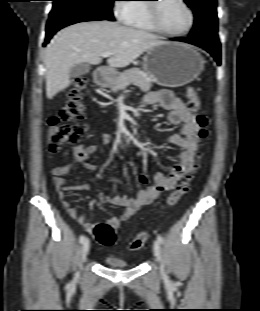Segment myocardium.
<instances>
[{
	"mask_svg": "<svg viewBox=\"0 0 260 311\" xmlns=\"http://www.w3.org/2000/svg\"><path fill=\"white\" fill-rule=\"evenodd\" d=\"M160 2H162V0H155V2H151L149 4L146 5L147 7V13H148V19L151 23V25L154 27V29L164 35L170 36V37H180V36H184L186 34H188L193 26H194V12L191 8V6L188 4V2L186 0H179V2L184 6V8L187 10L188 12V16H189V23L188 26L179 32H172L169 31L167 29H165L161 22H160V18L158 16V9H159V4Z\"/></svg>",
	"mask_w": 260,
	"mask_h": 311,
	"instance_id": "1",
	"label": "myocardium"
}]
</instances>
